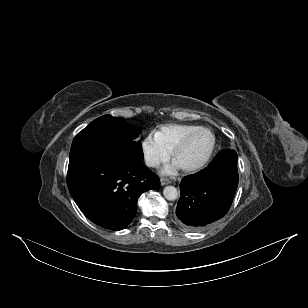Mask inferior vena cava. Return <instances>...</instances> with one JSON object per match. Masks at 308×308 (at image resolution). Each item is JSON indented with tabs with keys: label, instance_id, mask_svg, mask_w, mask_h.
Listing matches in <instances>:
<instances>
[{
	"label": "inferior vena cava",
	"instance_id": "1",
	"mask_svg": "<svg viewBox=\"0 0 308 308\" xmlns=\"http://www.w3.org/2000/svg\"><path fill=\"white\" fill-rule=\"evenodd\" d=\"M146 164L150 167H154V166L158 165V161H156L154 159H146Z\"/></svg>",
	"mask_w": 308,
	"mask_h": 308
}]
</instances>
